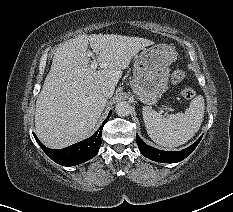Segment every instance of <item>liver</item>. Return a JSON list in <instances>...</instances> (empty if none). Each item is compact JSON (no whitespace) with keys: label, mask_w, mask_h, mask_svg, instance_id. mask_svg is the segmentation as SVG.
<instances>
[{"label":"liver","mask_w":233,"mask_h":212,"mask_svg":"<svg viewBox=\"0 0 233 212\" xmlns=\"http://www.w3.org/2000/svg\"><path fill=\"white\" fill-rule=\"evenodd\" d=\"M88 44L98 56L100 70L90 67ZM149 39L116 34L79 35L57 49L36 101L35 127L40 141L60 149L89 135L107 103L103 87L113 92L122 70Z\"/></svg>","instance_id":"1"}]
</instances>
